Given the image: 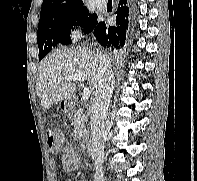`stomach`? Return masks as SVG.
I'll return each instance as SVG.
<instances>
[{"instance_id": "0dacf381", "label": "stomach", "mask_w": 197, "mask_h": 181, "mask_svg": "<svg viewBox=\"0 0 197 181\" xmlns=\"http://www.w3.org/2000/svg\"><path fill=\"white\" fill-rule=\"evenodd\" d=\"M60 107L62 109H67L69 107V99H65V100H62L61 103H60Z\"/></svg>"}]
</instances>
